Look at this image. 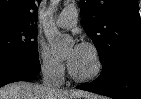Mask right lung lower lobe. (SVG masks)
I'll return each mask as SVG.
<instances>
[{"mask_svg": "<svg viewBox=\"0 0 141 99\" xmlns=\"http://www.w3.org/2000/svg\"><path fill=\"white\" fill-rule=\"evenodd\" d=\"M39 60L24 58L0 59V87L16 81L29 80L40 72Z\"/></svg>", "mask_w": 141, "mask_h": 99, "instance_id": "98d812e1", "label": "right lung lower lobe"}]
</instances>
